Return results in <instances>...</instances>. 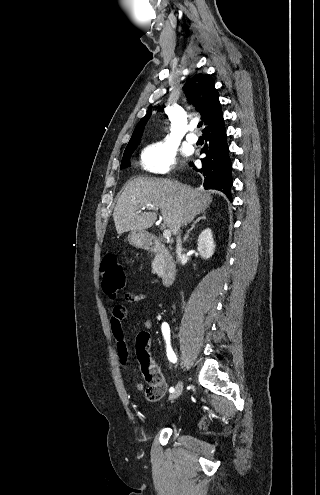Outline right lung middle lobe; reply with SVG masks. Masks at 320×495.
Here are the masks:
<instances>
[{
  "instance_id": "obj_1",
  "label": "right lung middle lobe",
  "mask_w": 320,
  "mask_h": 495,
  "mask_svg": "<svg viewBox=\"0 0 320 495\" xmlns=\"http://www.w3.org/2000/svg\"><path fill=\"white\" fill-rule=\"evenodd\" d=\"M135 149L136 147L124 151L123 159L121 162V168H126L130 166V157Z\"/></svg>"
}]
</instances>
